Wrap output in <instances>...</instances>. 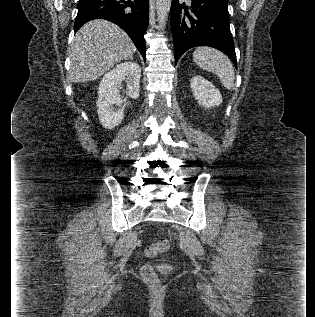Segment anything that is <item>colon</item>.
<instances>
[{"label":"colon","mask_w":315,"mask_h":317,"mask_svg":"<svg viewBox=\"0 0 315 317\" xmlns=\"http://www.w3.org/2000/svg\"><path fill=\"white\" fill-rule=\"evenodd\" d=\"M168 248H169V241L165 238H161L157 242L149 245L146 248V254L149 257H156L157 255L166 252ZM141 274L143 278L147 280L149 283L154 285L159 283L156 270L152 265L150 264L144 265L142 267Z\"/></svg>","instance_id":"5ec220e1"}]
</instances>
